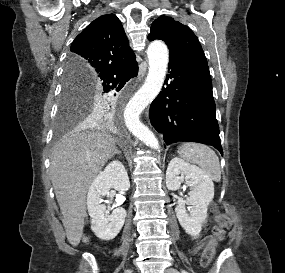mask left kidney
<instances>
[{
	"instance_id": "left-kidney-1",
	"label": "left kidney",
	"mask_w": 285,
	"mask_h": 273,
	"mask_svg": "<svg viewBox=\"0 0 285 273\" xmlns=\"http://www.w3.org/2000/svg\"><path fill=\"white\" fill-rule=\"evenodd\" d=\"M184 180L191 188L190 196L186 199L178 198L175 212L185 232L196 237L207 218L208 205L214 197V185L200 168L175 157L170 161L166 171V186L171 191L179 190ZM186 205H190L191 208L187 210Z\"/></svg>"
}]
</instances>
